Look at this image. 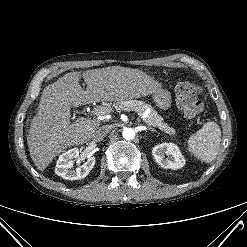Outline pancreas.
Listing matches in <instances>:
<instances>
[{
  "mask_svg": "<svg viewBox=\"0 0 247 247\" xmlns=\"http://www.w3.org/2000/svg\"><path fill=\"white\" fill-rule=\"evenodd\" d=\"M114 106L116 109L119 110L135 111L147 125L156 127L169 135L175 136V130L168 124L163 122V118L155 110H153V108L149 104H146L143 101L123 100L118 101ZM104 107L109 108L108 105ZM147 109H149V113L145 117H143Z\"/></svg>",
  "mask_w": 247,
  "mask_h": 247,
  "instance_id": "1",
  "label": "pancreas"
}]
</instances>
